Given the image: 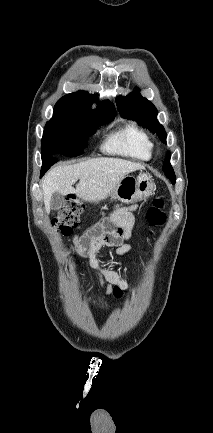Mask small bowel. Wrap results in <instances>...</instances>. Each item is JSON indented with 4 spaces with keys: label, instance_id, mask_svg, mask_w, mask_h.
<instances>
[{
    "label": "small bowel",
    "instance_id": "obj_1",
    "mask_svg": "<svg viewBox=\"0 0 213 433\" xmlns=\"http://www.w3.org/2000/svg\"><path fill=\"white\" fill-rule=\"evenodd\" d=\"M135 209L136 206H118L107 219L72 238L75 251L87 259L89 266L96 271L98 280L107 284L108 293L114 286L126 289L127 284L115 271L101 266L97 253L104 246L115 247V253L119 256L131 251L129 239L135 225Z\"/></svg>",
    "mask_w": 213,
    "mask_h": 433
}]
</instances>
